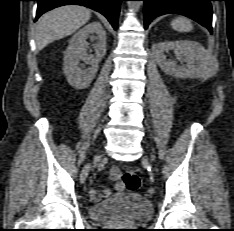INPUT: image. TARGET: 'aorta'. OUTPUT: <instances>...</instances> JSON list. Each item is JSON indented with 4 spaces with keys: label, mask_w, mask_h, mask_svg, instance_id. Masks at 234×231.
<instances>
[{
    "label": "aorta",
    "mask_w": 234,
    "mask_h": 231,
    "mask_svg": "<svg viewBox=\"0 0 234 231\" xmlns=\"http://www.w3.org/2000/svg\"><path fill=\"white\" fill-rule=\"evenodd\" d=\"M142 2L141 1H129L128 2V7L131 10H138L141 6Z\"/></svg>",
    "instance_id": "1"
}]
</instances>
